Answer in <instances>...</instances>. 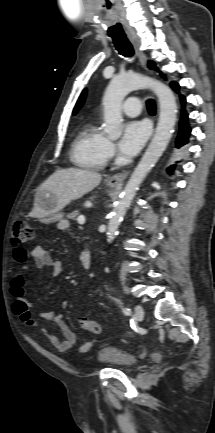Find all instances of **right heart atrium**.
I'll return each instance as SVG.
<instances>
[{
    "mask_svg": "<svg viewBox=\"0 0 215 433\" xmlns=\"http://www.w3.org/2000/svg\"><path fill=\"white\" fill-rule=\"evenodd\" d=\"M105 153H106L107 158H112L115 155V146L109 140H107V143L105 146Z\"/></svg>",
    "mask_w": 215,
    "mask_h": 433,
    "instance_id": "d8ad5b80",
    "label": "right heart atrium"
}]
</instances>
